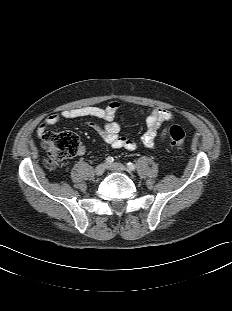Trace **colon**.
I'll use <instances>...</instances> for the list:
<instances>
[{
  "label": "colon",
  "instance_id": "5ec220e1",
  "mask_svg": "<svg viewBox=\"0 0 232 311\" xmlns=\"http://www.w3.org/2000/svg\"><path fill=\"white\" fill-rule=\"evenodd\" d=\"M184 135L183 129L178 125H173L169 129L171 142L179 151L183 147ZM43 144L48 152L46 166L56 168L78 152L79 138L68 131L49 132L43 138Z\"/></svg>",
  "mask_w": 232,
  "mask_h": 311
}]
</instances>
